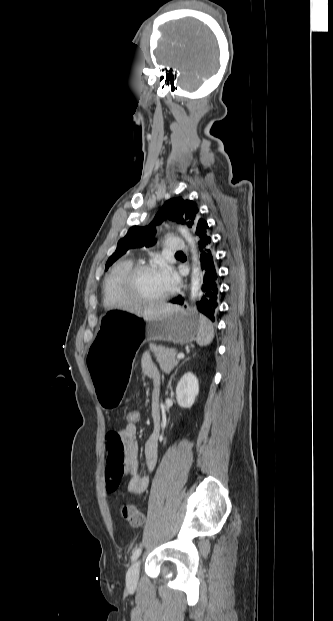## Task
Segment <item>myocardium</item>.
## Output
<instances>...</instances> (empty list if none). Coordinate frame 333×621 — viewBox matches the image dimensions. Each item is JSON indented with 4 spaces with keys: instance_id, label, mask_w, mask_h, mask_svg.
I'll list each match as a JSON object with an SVG mask.
<instances>
[{
    "instance_id": "obj_1",
    "label": "myocardium",
    "mask_w": 333,
    "mask_h": 621,
    "mask_svg": "<svg viewBox=\"0 0 333 621\" xmlns=\"http://www.w3.org/2000/svg\"><path fill=\"white\" fill-rule=\"evenodd\" d=\"M147 271H164V268L159 263H153V262L141 263V264L132 266L121 277L119 284H118V291L124 304L153 306V305L162 304L171 298L174 292L173 286L170 288L167 294L157 299H142L132 293L131 286H132L134 279L139 274L143 272H147Z\"/></svg>"
}]
</instances>
